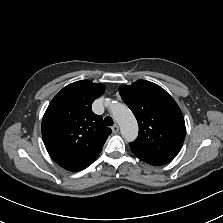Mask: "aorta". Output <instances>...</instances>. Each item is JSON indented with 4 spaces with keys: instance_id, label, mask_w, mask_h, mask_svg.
Masks as SVG:
<instances>
[{
    "instance_id": "aorta-1",
    "label": "aorta",
    "mask_w": 223,
    "mask_h": 223,
    "mask_svg": "<svg viewBox=\"0 0 223 223\" xmlns=\"http://www.w3.org/2000/svg\"><path fill=\"white\" fill-rule=\"evenodd\" d=\"M111 112L121 127V134L127 140L131 141L138 134V124L131 110L123 104L115 103L111 107Z\"/></svg>"
}]
</instances>
